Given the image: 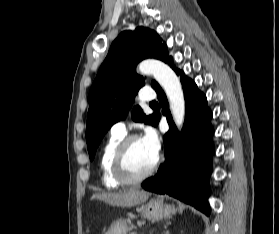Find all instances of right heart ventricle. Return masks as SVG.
Wrapping results in <instances>:
<instances>
[{"instance_id":"1","label":"right heart ventricle","mask_w":279,"mask_h":234,"mask_svg":"<svg viewBox=\"0 0 279 234\" xmlns=\"http://www.w3.org/2000/svg\"><path fill=\"white\" fill-rule=\"evenodd\" d=\"M123 138L124 134L112 133L100 154L99 166L102 183L107 188H117L122 184L113 175L112 161L115 150Z\"/></svg>"}]
</instances>
